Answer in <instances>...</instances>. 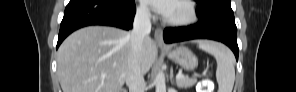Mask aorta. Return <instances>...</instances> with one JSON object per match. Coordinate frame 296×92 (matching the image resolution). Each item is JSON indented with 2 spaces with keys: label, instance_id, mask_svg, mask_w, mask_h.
<instances>
[{
  "label": "aorta",
  "instance_id": "1",
  "mask_svg": "<svg viewBox=\"0 0 296 92\" xmlns=\"http://www.w3.org/2000/svg\"><path fill=\"white\" fill-rule=\"evenodd\" d=\"M156 92H166L165 74L163 71H159L155 78Z\"/></svg>",
  "mask_w": 296,
  "mask_h": 92
}]
</instances>
